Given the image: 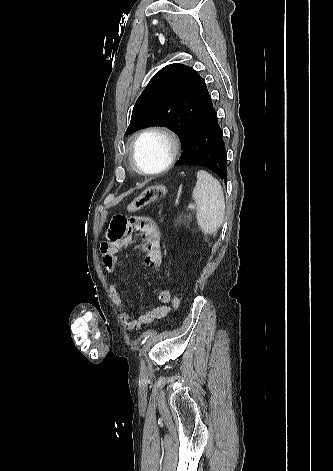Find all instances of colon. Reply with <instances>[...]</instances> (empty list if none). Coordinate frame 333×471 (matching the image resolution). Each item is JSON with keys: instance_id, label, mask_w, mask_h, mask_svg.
Segmentation results:
<instances>
[{"instance_id": "1", "label": "colon", "mask_w": 333, "mask_h": 471, "mask_svg": "<svg viewBox=\"0 0 333 471\" xmlns=\"http://www.w3.org/2000/svg\"><path fill=\"white\" fill-rule=\"evenodd\" d=\"M167 193V187L163 184L152 185L142 191L127 207L128 211L133 213L152 202L164 197ZM172 304L175 310L179 309L180 299L177 295L173 297Z\"/></svg>"}]
</instances>
